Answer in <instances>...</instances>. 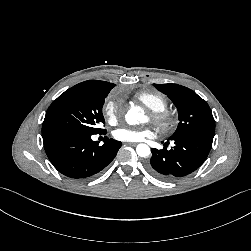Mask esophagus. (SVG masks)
<instances>
[{
  "label": "esophagus",
  "instance_id": "obj_1",
  "mask_svg": "<svg viewBox=\"0 0 251 251\" xmlns=\"http://www.w3.org/2000/svg\"><path fill=\"white\" fill-rule=\"evenodd\" d=\"M126 144H127V145H131V146L137 145V143H133V142H127Z\"/></svg>",
  "mask_w": 251,
  "mask_h": 251
}]
</instances>
